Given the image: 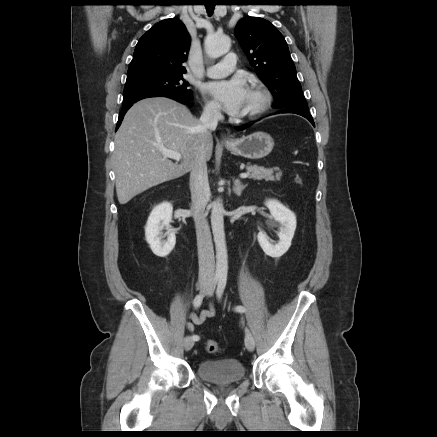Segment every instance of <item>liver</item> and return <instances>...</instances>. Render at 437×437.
I'll list each match as a JSON object with an SVG mask.
<instances>
[{"label": "liver", "instance_id": "obj_1", "mask_svg": "<svg viewBox=\"0 0 437 437\" xmlns=\"http://www.w3.org/2000/svg\"><path fill=\"white\" fill-rule=\"evenodd\" d=\"M112 155L116 193L120 204L161 183L190 172L199 161L210 160L211 133L186 106L165 97L146 98L125 114L115 135ZM179 152L172 162L160 148Z\"/></svg>", "mask_w": 437, "mask_h": 437}]
</instances>
